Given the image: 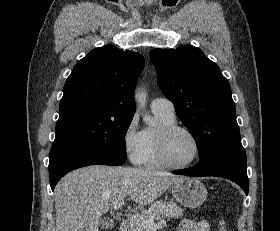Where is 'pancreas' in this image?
<instances>
[{
    "label": "pancreas",
    "mask_w": 280,
    "mask_h": 231,
    "mask_svg": "<svg viewBox=\"0 0 280 231\" xmlns=\"http://www.w3.org/2000/svg\"><path fill=\"white\" fill-rule=\"evenodd\" d=\"M184 209H182L181 205L175 203V201H154L152 205H150L147 211H141L137 221H131L129 225H127V231H145V227H143L144 219H154V217H168V219H178L183 215ZM142 217V219H141Z\"/></svg>",
    "instance_id": "pancreas-1"
}]
</instances>
